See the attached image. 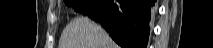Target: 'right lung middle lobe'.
<instances>
[{"instance_id":"dd1d6c3e","label":"right lung middle lobe","mask_w":213,"mask_h":48,"mask_svg":"<svg viewBox=\"0 0 213 48\" xmlns=\"http://www.w3.org/2000/svg\"><path fill=\"white\" fill-rule=\"evenodd\" d=\"M96 0H65V5L71 6L75 11L86 14Z\"/></svg>"}]
</instances>
